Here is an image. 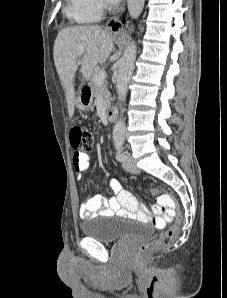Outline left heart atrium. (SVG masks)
<instances>
[{
    "mask_svg": "<svg viewBox=\"0 0 227 298\" xmlns=\"http://www.w3.org/2000/svg\"><path fill=\"white\" fill-rule=\"evenodd\" d=\"M108 3L110 4H116L118 3L120 0H106Z\"/></svg>",
    "mask_w": 227,
    "mask_h": 298,
    "instance_id": "obj_1",
    "label": "left heart atrium"
}]
</instances>
